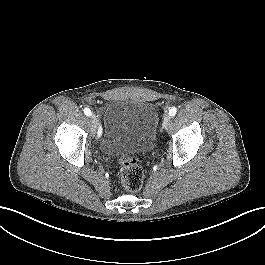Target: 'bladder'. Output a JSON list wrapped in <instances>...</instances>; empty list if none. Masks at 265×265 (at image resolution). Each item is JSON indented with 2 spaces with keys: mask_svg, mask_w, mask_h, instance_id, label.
I'll use <instances>...</instances> for the list:
<instances>
[{
  "mask_svg": "<svg viewBox=\"0 0 265 265\" xmlns=\"http://www.w3.org/2000/svg\"><path fill=\"white\" fill-rule=\"evenodd\" d=\"M158 120V111L149 102L109 100L101 130V150L119 159L148 153L155 142Z\"/></svg>",
  "mask_w": 265,
  "mask_h": 265,
  "instance_id": "31cf9c89",
  "label": "bladder"
}]
</instances>
